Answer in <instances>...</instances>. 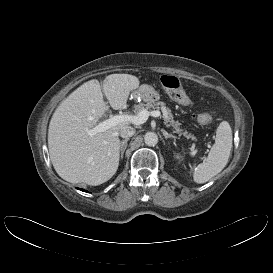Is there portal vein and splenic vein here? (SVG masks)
Masks as SVG:
<instances>
[{
  "mask_svg": "<svg viewBox=\"0 0 273 273\" xmlns=\"http://www.w3.org/2000/svg\"><path fill=\"white\" fill-rule=\"evenodd\" d=\"M160 111H147V110H142L141 112H139L137 115H115L110 117L109 119L99 123L98 125H96L94 128H92L91 130H89V135H95L99 132H104L107 129L116 126L120 123H132L135 125H140L143 124L147 121L149 116H153V117H159L160 116Z\"/></svg>",
  "mask_w": 273,
  "mask_h": 273,
  "instance_id": "obj_1",
  "label": "portal vein and splenic vein"
}]
</instances>
